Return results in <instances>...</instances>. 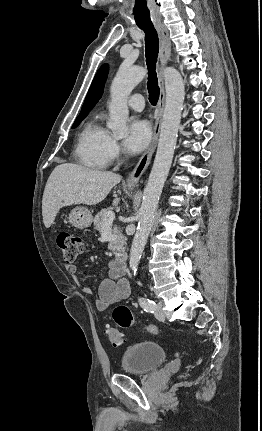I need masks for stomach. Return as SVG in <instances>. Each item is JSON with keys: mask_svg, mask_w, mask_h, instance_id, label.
<instances>
[{"mask_svg": "<svg viewBox=\"0 0 262 431\" xmlns=\"http://www.w3.org/2000/svg\"><path fill=\"white\" fill-rule=\"evenodd\" d=\"M69 222L76 228H87L92 223V214L86 207H75L69 214Z\"/></svg>", "mask_w": 262, "mask_h": 431, "instance_id": "0dacf381", "label": "stomach"}]
</instances>
